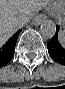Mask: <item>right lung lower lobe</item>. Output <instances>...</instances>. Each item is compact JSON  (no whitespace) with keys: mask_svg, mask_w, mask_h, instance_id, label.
<instances>
[{"mask_svg":"<svg viewBox=\"0 0 65 89\" xmlns=\"http://www.w3.org/2000/svg\"><path fill=\"white\" fill-rule=\"evenodd\" d=\"M20 31L16 32L4 44H0V67L6 65L14 56L15 45Z\"/></svg>","mask_w":65,"mask_h":89,"instance_id":"1","label":"right lung lower lobe"}]
</instances>
